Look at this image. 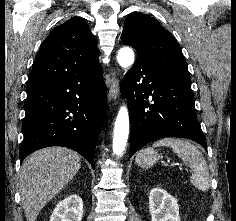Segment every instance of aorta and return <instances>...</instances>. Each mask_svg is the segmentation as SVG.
Segmentation results:
<instances>
[{"mask_svg": "<svg viewBox=\"0 0 236 221\" xmlns=\"http://www.w3.org/2000/svg\"><path fill=\"white\" fill-rule=\"evenodd\" d=\"M117 61L123 68H128L134 63V52L130 47H122L117 55ZM129 135V113L126 106L119 109L113 136V153L121 156L125 150Z\"/></svg>", "mask_w": 236, "mask_h": 221, "instance_id": "obj_1", "label": "aorta"}]
</instances>
